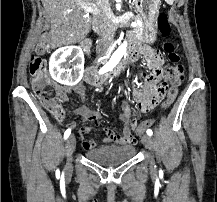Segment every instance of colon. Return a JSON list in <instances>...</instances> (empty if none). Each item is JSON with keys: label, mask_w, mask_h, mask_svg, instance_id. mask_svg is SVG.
Masks as SVG:
<instances>
[{"label": "colon", "mask_w": 217, "mask_h": 202, "mask_svg": "<svg viewBox=\"0 0 217 202\" xmlns=\"http://www.w3.org/2000/svg\"><path fill=\"white\" fill-rule=\"evenodd\" d=\"M157 27L160 35L163 38H167L171 34V24L168 21V17L165 12H160L157 17ZM39 46H51L53 36H38ZM163 51L172 65L164 67L156 74H163L165 77L163 81L170 83L172 89L167 93V100H164L165 107L168 108L176 99L178 93V86L185 79V67L181 63V56L178 53L174 44L165 40L163 42ZM44 49H35V54H44ZM52 63H47V59H40L36 55H32L29 62V73L32 78V88L34 92L39 96L40 103H43L46 107L50 108V111H61L63 103H67L65 93H56L59 90L57 80H48L50 74L47 73V68H52ZM160 88V87H158ZM162 96H140L139 102H159ZM153 124L152 119H147L143 123H138L136 127V138L145 134V131Z\"/></svg>", "instance_id": "colon-1"}]
</instances>
